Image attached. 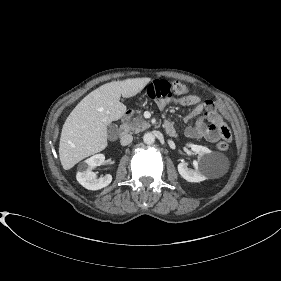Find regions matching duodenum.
<instances>
[{"label":"duodenum","mask_w":281,"mask_h":281,"mask_svg":"<svg viewBox=\"0 0 281 281\" xmlns=\"http://www.w3.org/2000/svg\"><path fill=\"white\" fill-rule=\"evenodd\" d=\"M131 115H132V112H130V111L127 112L124 115V117L122 119V122L120 124V127H119V135L120 136H123V135L128 133V131H129V119H130Z\"/></svg>","instance_id":"410a0bca"}]
</instances>
